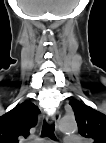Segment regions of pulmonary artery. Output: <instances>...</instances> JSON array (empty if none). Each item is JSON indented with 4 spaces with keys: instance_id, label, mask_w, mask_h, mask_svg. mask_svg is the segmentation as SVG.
Returning a JSON list of instances; mask_svg holds the SVG:
<instances>
[{
    "instance_id": "e3ab8cb5",
    "label": "pulmonary artery",
    "mask_w": 106,
    "mask_h": 143,
    "mask_svg": "<svg viewBox=\"0 0 106 143\" xmlns=\"http://www.w3.org/2000/svg\"><path fill=\"white\" fill-rule=\"evenodd\" d=\"M68 140H76V139H74V138H69Z\"/></svg>"
}]
</instances>
